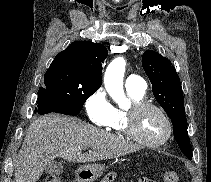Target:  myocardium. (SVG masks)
I'll return each instance as SVG.
<instances>
[{
  "label": "myocardium",
  "mask_w": 211,
  "mask_h": 182,
  "mask_svg": "<svg viewBox=\"0 0 211 182\" xmlns=\"http://www.w3.org/2000/svg\"><path fill=\"white\" fill-rule=\"evenodd\" d=\"M149 108L156 110L162 116L166 124V131L164 135L157 141H147V140L142 139L137 133V129H136L137 116L142 111ZM125 119H126L127 135L131 137L134 141L139 143L140 145H143L146 147H160L164 145L170 139L172 135L173 126H172L171 119L169 118L166 111L161 106L155 103L145 101V100L134 102L131 108L126 111Z\"/></svg>",
  "instance_id": "obj_1"
}]
</instances>
